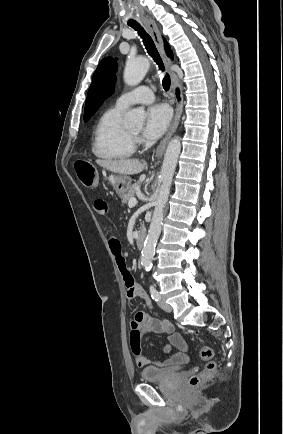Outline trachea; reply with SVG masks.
<instances>
[{"label": "trachea", "mask_w": 283, "mask_h": 434, "mask_svg": "<svg viewBox=\"0 0 283 434\" xmlns=\"http://www.w3.org/2000/svg\"><path fill=\"white\" fill-rule=\"evenodd\" d=\"M128 25L130 27H132L133 29H135L136 31H138V34L143 39V43H144V46H145L148 54L156 62V64L159 67V70L164 72L165 67H164L163 61H162V59L158 53V50H157L152 38L150 37V35L145 32V30L141 27V25L139 23H129ZM170 84H171L170 76H169V74L166 73L163 77V80H162V85H163V88L165 91L169 90Z\"/></svg>", "instance_id": "trachea-1"}]
</instances>
